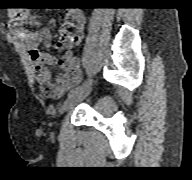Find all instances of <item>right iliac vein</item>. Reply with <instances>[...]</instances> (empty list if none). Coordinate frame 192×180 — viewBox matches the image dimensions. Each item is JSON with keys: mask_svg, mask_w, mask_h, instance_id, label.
I'll use <instances>...</instances> for the list:
<instances>
[{"mask_svg": "<svg viewBox=\"0 0 192 180\" xmlns=\"http://www.w3.org/2000/svg\"><path fill=\"white\" fill-rule=\"evenodd\" d=\"M89 93H90V88L86 87L79 93L68 97L61 106V112L64 113V112L74 108L80 101L85 99Z\"/></svg>", "mask_w": 192, "mask_h": 180, "instance_id": "63e3f726", "label": "right iliac vein"}]
</instances>
